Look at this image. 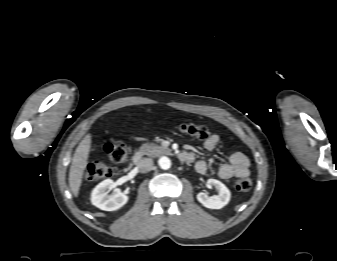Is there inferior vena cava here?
Returning <instances> with one entry per match:
<instances>
[{
    "label": "inferior vena cava",
    "mask_w": 337,
    "mask_h": 261,
    "mask_svg": "<svg viewBox=\"0 0 337 261\" xmlns=\"http://www.w3.org/2000/svg\"><path fill=\"white\" fill-rule=\"evenodd\" d=\"M137 167L141 172L150 171L153 167V160L151 158H143L137 163Z\"/></svg>",
    "instance_id": "1"
}]
</instances>
